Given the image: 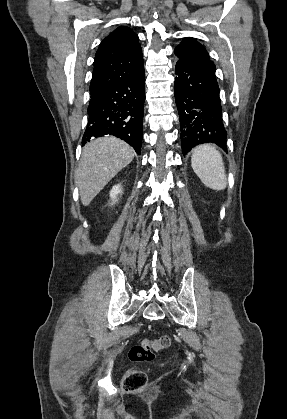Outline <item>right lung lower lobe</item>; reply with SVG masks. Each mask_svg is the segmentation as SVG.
<instances>
[{"instance_id": "1", "label": "right lung lower lobe", "mask_w": 287, "mask_h": 419, "mask_svg": "<svg viewBox=\"0 0 287 419\" xmlns=\"http://www.w3.org/2000/svg\"><path fill=\"white\" fill-rule=\"evenodd\" d=\"M90 95L83 145L92 138L113 135L127 142L140 155L145 98L144 66L136 74Z\"/></svg>"}]
</instances>
